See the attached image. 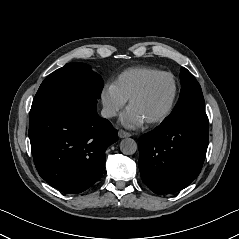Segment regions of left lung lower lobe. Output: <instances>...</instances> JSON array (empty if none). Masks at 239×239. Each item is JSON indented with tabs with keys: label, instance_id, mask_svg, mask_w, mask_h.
<instances>
[{
	"label": "left lung lower lobe",
	"instance_id": "0a47b994",
	"mask_svg": "<svg viewBox=\"0 0 239 239\" xmlns=\"http://www.w3.org/2000/svg\"><path fill=\"white\" fill-rule=\"evenodd\" d=\"M205 111H190L162 123L139 140L141 178L156 194L178 192L199 175L208 145Z\"/></svg>",
	"mask_w": 239,
	"mask_h": 239
}]
</instances>
